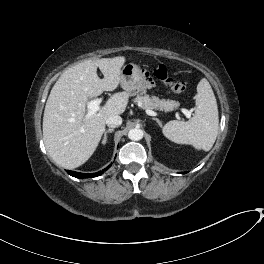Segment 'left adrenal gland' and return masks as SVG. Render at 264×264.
<instances>
[{
    "label": "left adrenal gland",
    "mask_w": 264,
    "mask_h": 264,
    "mask_svg": "<svg viewBox=\"0 0 264 264\" xmlns=\"http://www.w3.org/2000/svg\"><path fill=\"white\" fill-rule=\"evenodd\" d=\"M152 120H155L160 127H162V122L158 118H152Z\"/></svg>",
    "instance_id": "left-adrenal-gland-1"
}]
</instances>
